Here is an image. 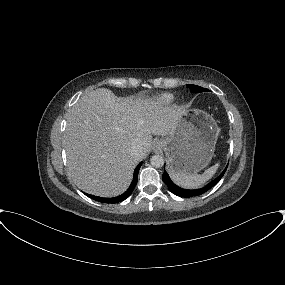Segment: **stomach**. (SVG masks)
<instances>
[{
    "label": "stomach",
    "instance_id": "stomach-1",
    "mask_svg": "<svg viewBox=\"0 0 285 285\" xmlns=\"http://www.w3.org/2000/svg\"><path fill=\"white\" fill-rule=\"evenodd\" d=\"M219 128L212 116L200 110H187L174 131L157 142L167 156L170 173L196 174L211 161Z\"/></svg>",
    "mask_w": 285,
    "mask_h": 285
}]
</instances>
